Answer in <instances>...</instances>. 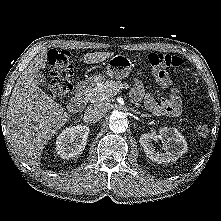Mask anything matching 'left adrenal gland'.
Instances as JSON below:
<instances>
[{
    "label": "left adrenal gland",
    "instance_id": "1",
    "mask_svg": "<svg viewBox=\"0 0 221 221\" xmlns=\"http://www.w3.org/2000/svg\"><path fill=\"white\" fill-rule=\"evenodd\" d=\"M141 116L142 117H147V116L149 117V115H147V114H142Z\"/></svg>",
    "mask_w": 221,
    "mask_h": 221
}]
</instances>
